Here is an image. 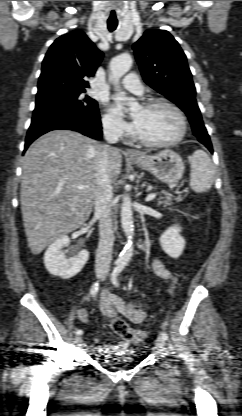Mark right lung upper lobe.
<instances>
[{
	"mask_svg": "<svg viewBox=\"0 0 242 416\" xmlns=\"http://www.w3.org/2000/svg\"><path fill=\"white\" fill-rule=\"evenodd\" d=\"M103 58L94 43L80 30L60 36L50 46L42 63L38 82L39 95L59 89L85 90V77L93 76Z\"/></svg>",
	"mask_w": 242,
	"mask_h": 416,
	"instance_id": "obj_1",
	"label": "right lung upper lobe"
}]
</instances>
